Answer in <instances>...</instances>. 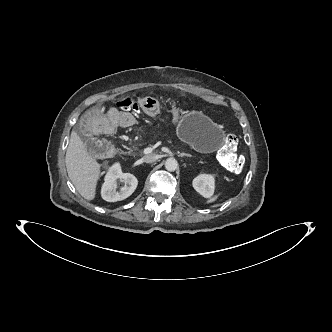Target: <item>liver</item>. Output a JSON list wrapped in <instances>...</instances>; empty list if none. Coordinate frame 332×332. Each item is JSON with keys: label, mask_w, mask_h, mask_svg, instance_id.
Returning <instances> with one entry per match:
<instances>
[{"label": "liver", "mask_w": 332, "mask_h": 332, "mask_svg": "<svg viewBox=\"0 0 332 332\" xmlns=\"http://www.w3.org/2000/svg\"><path fill=\"white\" fill-rule=\"evenodd\" d=\"M65 164L68 176L80 195L87 200H93L100 177V164L89 155L85 144L75 131L70 136Z\"/></svg>", "instance_id": "6515ba94"}]
</instances>
